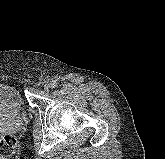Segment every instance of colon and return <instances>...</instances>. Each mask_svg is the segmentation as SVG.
<instances>
[{
    "mask_svg": "<svg viewBox=\"0 0 165 159\" xmlns=\"http://www.w3.org/2000/svg\"><path fill=\"white\" fill-rule=\"evenodd\" d=\"M17 149V140L11 134L0 136V158L5 159L12 156Z\"/></svg>",
    "mask_w": 165,
    "mask_h": 159,
    "instance_id": "1",
    "label": "colon"
}]
</instances>
